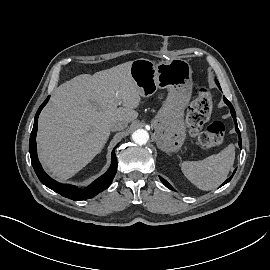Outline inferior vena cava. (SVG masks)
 Instances as JSON below:
<instances>
[{"label": "inferior vena cava", "mask_w": 270, "mask_h": 270, "mask_svg": "<svg viewBox=\"0 0 270 270\" xmlns=\"http://www.w3.org/2000/svg\"><path fill=\"white\" fill-rule=\"evenodd\" d=\"M128 123L126 121H116L111 125V131L123 130L127 127Z\"/></svg>", "instance_id": "602c4592"}]
</instances>
